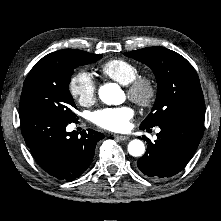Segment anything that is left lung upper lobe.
<instances>
[{
    "label": "left lung upper lobe",
    "mask_w": 221,
    "mask_h": 221,
    "mask_svg": "<svg viewBox=\"0 0 221 221\" xmlns=\"http://www.w3.org/2000/svg\"><path fill=\"white\" fill-rule=\"evenodd\" d=\"M155 73L158 90L150 114L141 128L160 126L167 120L185 114H205V103L198 75L180 54L155 46L124 53Z\"/></svg>",
    "instance_id": "1"
}]
</instances>
